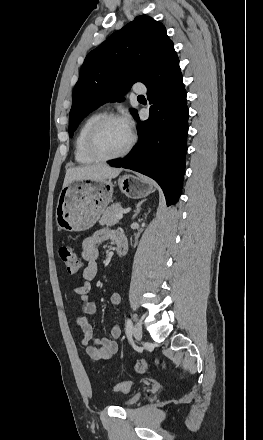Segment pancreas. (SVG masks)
Segmentation results:
<instances>
[{"instance_id":"cf45deb5","label":"pancreas","mask_w":263,"mask_h":440,"mask_svg":"<svg viewBox=\"0 0 263 440\" xmlns=\"http://www.w3.org/2000/svg\"><path fill=\"white\" fill-rule=\"evenodd\" d=\"M119 211H122L121 204L120 203L112 204L110 207L105 209L99 223L101 225H106V226L115 225L119 221V219L116 217V214Z\"/></svg>"}]
</instances>
